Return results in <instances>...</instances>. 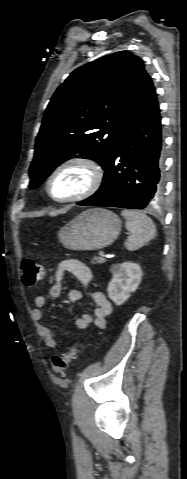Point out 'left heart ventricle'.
Here are the masks:
<instances>
[{"mask_svg":"<svg viewBox=\"0 0 187 479\" xmlns=\"http://www.w3.org/2000/svg\"><path fill=\"white\" fill-rule=\"evenodd\" d=\"M88 181L87 171L80 166L66 169L51 184V193L57 198H66L84 188Z\"/></svg>","mask_w":187,"mask_h":479,"instance_id":"1","label":"left heart ventricle"}]
</instances>
